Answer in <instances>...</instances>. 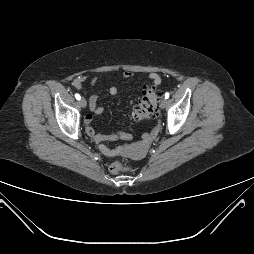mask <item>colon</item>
Wrapping results in <instances>:
<instances>
[{"mask_svg":"<svg viewBox=\"0 0 254 254\" xmlns=\"http://www.w3.org/2000/svg\"><path fill=\"white\" fill-rule=\"evenodd\" d=\"M158 99L159 95L154 88H146L142 99L136 104L133 109L132 116L135 120L142 121L151 119L157 116L158 114ZM130 168L127 161H114L110 170L113 173H120L126 171Z\"/></svg>","mask_w":254,"mask_h":254,"instance_id":"5ec220e1","label":"colon"}]
</instances>
